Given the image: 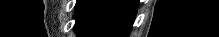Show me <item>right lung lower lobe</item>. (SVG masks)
Listing matches in <instances>:
<instances>
[{"instance_id":"right-lung-lower-lobe-1","label":"right lung lower lobe","mask_w":219,"mask_h":37,"mask_svg":"<svg viewBox=\"0 0 219 37\" xmlns=\"http://www.w3.org/2000/svg\"><path fill=\"white\" fill-rule=\"evenodd\" d=\"M137 0H78L74 30L80 36L128 37Z\"/></svg>"}]
</instances>
